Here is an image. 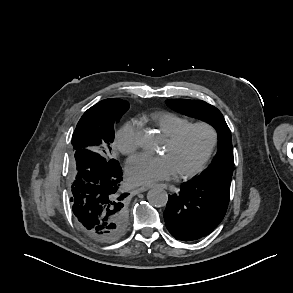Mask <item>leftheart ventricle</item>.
I'll return each mask as SVG.
<instances>
[{
  "label": "left heart ventricle",
  "instance_id": "left-heart-ventricle-1",
  "mask_svg": "<svg viewBox=\"0 0 293 293\" xmlns=\"http://www.w3.org/2000/svg\"><path fill=\"white\" fill-rule=\"evenodd\" d=\"M209 143V133L203 128L190 130L175 145L165 141L162 153L167 155L176 172L192 168L202 157Z\"/></svg>",
  "mask_w": 293,
  "mask_h": 293
}]
</instances>
